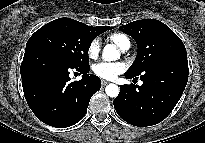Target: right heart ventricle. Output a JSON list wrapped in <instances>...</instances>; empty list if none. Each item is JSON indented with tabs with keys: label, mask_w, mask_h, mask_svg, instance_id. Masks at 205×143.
<instances>
[{
	"label": "right heart ventricle",
	"mask_w": 205,
	"mask_h": 143,
	"mask_svg": "<svg viewBox=\"0 0 205 143\" xmlns=\"http://www.w3.org/2000/svg\"><path fill=\"white\" fill-rule=\"evenodd\" d=\"M109 39L120 49H122L127 44H130L129 38L123 33H113L109 36Z\"/></svg>",
	"instance_id": "e07e8e85"
}]
</instances>
